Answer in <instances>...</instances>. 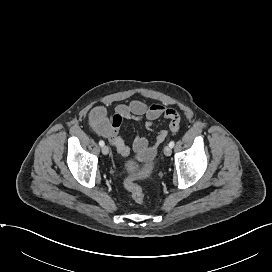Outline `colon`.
I'll list each match as a JSON object with an SVG mask.
<instances>
[{
  "instance_id": "1",
  "label": "colon",
  "mask_w": 272,
  "mask_h": 272,
  "mask_svg": "<svg viewBox=\"0 0 272 272\" xmlns=\"http://www.w3.org/2000/svg\"><path fill=\"white\" fill-rule=\"evenodd\" d=\"M92 119L98 127H103L106 124H112L118 126L121 124V118L115 114L109 121L106 117V113L102 108H95L91 113ZM150 169L145 167L136 177H127L124 180V186L130 193L132 199L137 204H142L144 202V193L142 188L136 183V179L145 178L149 175Z\"/></svg>"
}]
</instances>
